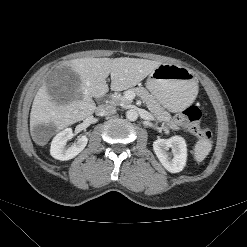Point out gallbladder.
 I'll use <instances>...</instances> for the list:
<instances>
[{"label":"gallbladder","instance_id":"obj_1","mask_svg":"<svg viewBox=\"0 0 247 247\" xmlns=\"http://www.w3.org/2000/svg\"><path fill=\"white\" fill-rule=\"evenodd\" d=\"M79 84V76L64 65L54 70L46 79L47 92L58 104L75 99Z\"/></svg>","mask_w":247,"mask_h":247}]
</instances>
